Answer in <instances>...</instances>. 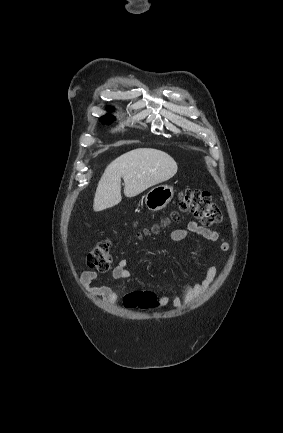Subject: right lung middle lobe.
<instances>
[{
    "label": "right lung middle lobe",
    "mask_w": 283,
    "mask_h": 433,
    "mask_svg": "<svg viewBox=\"0 0 283 433\" xmlns=\"http://www.w3.org/2000/svg\"><path fill=\"white\" fill-rule=\"evenodd\" d=\"M113 120H114V117H113V116H110V115H106V116H103V117L101 118V121H102L103 123H106V124H110V123H112Z\"/></svg>",
    "instance_id": "right-lung-middle-lobe-1"
}]
</instances>
